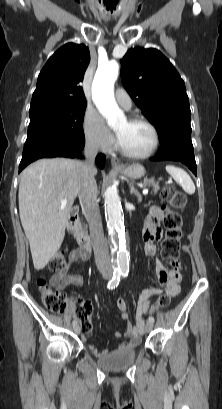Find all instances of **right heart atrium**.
<instances>
[{"label": "right heart atrium", "mask_w": 222, "mask_h": 409, "mask_svg": "<svg viewBox=\"0 0 222 409\" xmlns=\"http://www.w3.org/2000/svg\"><path fill=\"white\" fill-rule=\"evenodd\" d=\"M82 129L87 144L105 153L112 150L114 145L113 137L100 114L93 108L85 110Z\"/></svg>", "instance_id": "d8ad5b80"}]
</instances>
